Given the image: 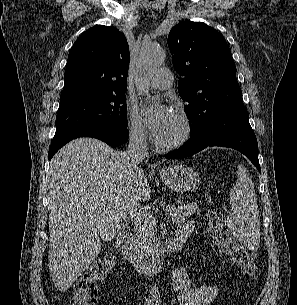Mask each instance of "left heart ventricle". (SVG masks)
I'll list each match as a JSON object with an SVG mask.
<instances>
[{
    "label": "left heart ventricle",
    "mask_w": 297,
    "mask_h": 305,
    "mask_svg": "<svg viewBox=\"0 0 297 305\" xmlns=\"http://www.w3.org/2000/svg\"><path fill=\"white\" fill-rule=\"evenodd\" d=\"M181 132V123L177 116L174 114L170 123L158 136H156V139L163 143L171 142L175 140L181 134Z\"/></svg>",
    "instance_id": "obj_1"
}]
</instances>
